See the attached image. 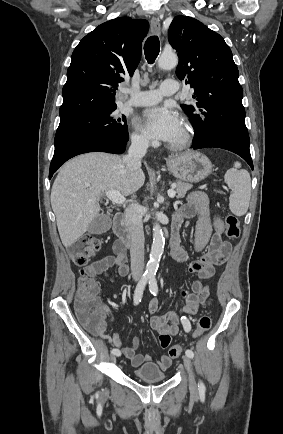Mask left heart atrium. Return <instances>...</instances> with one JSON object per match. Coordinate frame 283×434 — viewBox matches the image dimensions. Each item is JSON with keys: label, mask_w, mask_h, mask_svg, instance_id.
Listing matches in <instances>:
<instances>
[{"label": "left heart atrium", "mask_w": 283, "mask_h": 434, "mask_svg": "<svg viewBox=\"0 0 283 434\" xmlns=\"http://www.w3.org/2000/svg\"><path fill=\"white\" fill-rule=\"evenodd\" d=\"M141 128L156 140L172 141L181 128L178 114L168 105L153 107L143 113Z\"/></svg>", "instance_id": "left-heart-atrium-1"}]
</instances>
